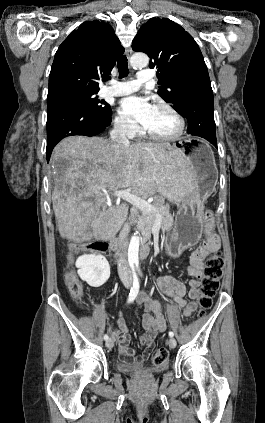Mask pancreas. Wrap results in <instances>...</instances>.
<instances>
[{"instance_id":"cf45deb5","label":"pancreas","mask_w":265,"mask_h":423,"mask_svg":"<svg viewBox=\"0 0 265 423\" xmlns=\"http://www.w3.org/2000/svg\"><path fill=\"white\" fill-rule=\"evenodd\" d=\"M153 205L157 208V211L142 213L138 221V228L141 230L144 240L150 238L152 227L158 217L161 218V228L163 230H169L173 225L170 207L168 204H164V198L161 196L157 197Z\"/></svg>"}]
</instances>
